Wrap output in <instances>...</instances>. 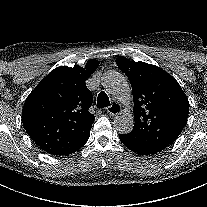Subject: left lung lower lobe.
I'll list each match as a JSON object with an SVG mask.
<instances>
[{
  "label": "left lung lower lobe",
  "mask_w": 207,
  "mask_h": 207,
  "mask_svg": "<svg viewBox=\"0 0 207 207\" xmlns=\"http://www.w3.org/2000/svg\"><path fill=\"white\" fill-rule=\"evenodd\" d=\"M119 139L125 146H127L130 150L139 155H154L158 153V151L131 144L130 140L126 137V135L119 134Z\"/></svg>",
  "instance_id": "0a47b994"
}]
</instances>
